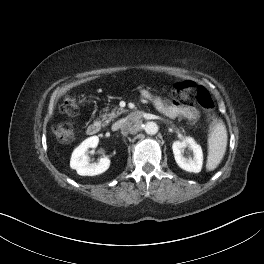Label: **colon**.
<instances>
[{
  "label": "colon",
  "instance_id": "colon-1",
  "mask_svg": "<svg viewBox=\"0 0 264 264\" xmlns=\"http://www.w3.org/2000/svg\"><path fill=\"white\" fill-rule=\"evenodd\" d=\"M170 91L179 102H196L208 113L211 120L215 119L213 99L205 88L196 87L194 83L187 81L172 85ZM61 111L68 116L77 115L79 107L73 96L67 95L63 99ZM54 135L61 143H71L75 138L73 124L69 121L60 123L54 128Z\"/></svg>",
  "mask_w": 264,
  "mask_h": 264
}]
</instances>
